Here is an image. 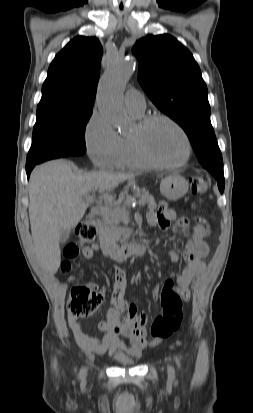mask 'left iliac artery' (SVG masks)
Masks as SVG:
<instances>
[{
    "instance_id": "left-iliac-artery-1",
    "label": "left iliac artery",
    "mask_w": 253,
    "mask_h": 413,
    "mask_svg": "<svg viewBox=\"0 0 253 413\" xmlns=\"http://www.w3.org/2000/svg\"><path fill=\"white\" fill-rule=\"evenodd\" d=\"M175 359H176V362H177L178 366L180 367V361H179V359H178L177 357H176Z\"/></svg>"
}]
</instances>
